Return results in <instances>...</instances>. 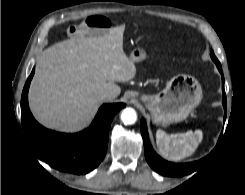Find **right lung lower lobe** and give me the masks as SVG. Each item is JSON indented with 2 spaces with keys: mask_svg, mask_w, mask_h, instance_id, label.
<instances>
[{
  "mask_svg": "<svg viewBox=\"0 0 245 195\" xmlns=\"http://www.w3.org/2000/svg\"><path fill=\"white\" fill-rule=\"evenodd\" d=\"M32 70L21 98V120L25 138L37 158L51 167L72 174H86L103 160L108 144L112 119L123 103L104 104L91 126L76 134L57 133L38 124L28 106V89Z\"/></svg>",
  "mask_w": 245,
  "mask_h": 195,
  "instance_id": "98d812e1",
  "label": "right lung lower lobe"
}]
</instances>
